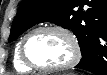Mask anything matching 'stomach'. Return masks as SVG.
Wrapping results in <instances>:
<instances>
[{
	"mask_svg": "<svg viewBox=\"0 0 107 75\" xmlns=\"http://www.w3.org/2000/svg\"><path fill=\"white\" fill-rule=\"evenodd\" d=\"M67 75H76V74L71 73V74H67Z\"/></svg>",
	"mask_w": 107,
	"mask_h": 75,
	"instance_id": "1",
	"label": "stomach"
}]
</instances>
